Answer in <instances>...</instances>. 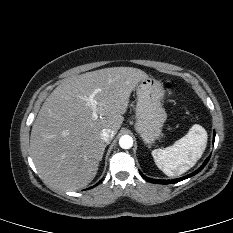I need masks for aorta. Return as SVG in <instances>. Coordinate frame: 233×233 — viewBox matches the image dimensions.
Listing matches in <instances>:
<instances>
[{
  "label": "aorta",
  "instance_id": "aorta-1",
  "mask_svg": "<svg viewBox=\"0 0 233 233\" xmlns=\"http://www.w3.org/2000/svg\"><path fill=\"white\" fill-rule=\"evenodd\" d=\"M119 145L123 149H130L133 146V139L129 135H123L119 139Z\"/></svg>",
  "mask_w": 233,
  "mask_h": 233
}]
</instances>
